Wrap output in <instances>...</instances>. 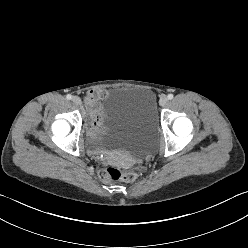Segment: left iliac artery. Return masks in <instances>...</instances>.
Returning a JSON list of instances; mask_svg holds the SVG:
<instances>
[{
    "mask_svg": "<svg viewBox=\"0 0 248 248\" xmlns=\"http://www.w3.org/2000/svg\"><path fill=\"white\" fill-rule=\"evenodd\" d=\"M173 94H168V96H167V98L169 99V100H172L173 99Z\"/></svg>",
    "mask_w": 248,
    "mask_h": 248,
    "instance_id": "left-iliac-artery-1",
    "label": "left iliac artery"
}]
</instances>
